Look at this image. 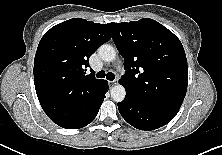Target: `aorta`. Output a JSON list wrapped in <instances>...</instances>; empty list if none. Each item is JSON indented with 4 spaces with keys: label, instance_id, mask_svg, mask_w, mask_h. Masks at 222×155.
Here are the masks:
<instances>
[{
    "label": "aorta",
    "instance_id": "762f6f07",
    "mask_svg": "<svg viewBox=\"0 0 222 155\" xmlns=\"http://www.w3.org/2000/svg\"><path fill=\"white\" fill-rule=\"evenodd\" d=\"M98 53L100 58L105 62H111L115 60L116 57V51L114 47L109 44H103L100 46ZM110 93L112 99L116 102H122L126 95L125 88L120 84L113 86Z\"/></svg>",
    "mask_w": 222,
    "mask_h": 155
}]
</instances>
